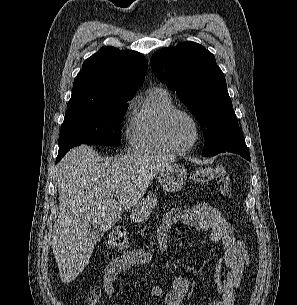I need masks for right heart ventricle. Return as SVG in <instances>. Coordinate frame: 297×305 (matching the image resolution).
Instances as JSON below:
<instances>
[{
	"instance_id": "right-heart-ventricle-1",
	"label": "right heart ventricle",
	"mask_w": 297,
	"mask_h": 305,
	"mask_svg": "<svg viewBox=\"0 0 297 305\" xmlns=\"http://www.w3.org/2000/svg\"><path fill=\"white\" fill-rule=\"evenodd\" d=\"M174 108L173 98L166 89L158 87L150 90L133 114L128 139L131 151L144 154L170 153L160 136V122Z\"/></svg>"
}]
</instances>
